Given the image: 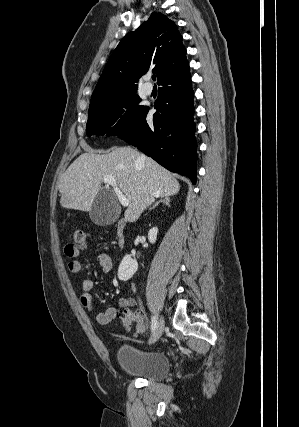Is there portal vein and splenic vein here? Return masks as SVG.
<instances>
[{
	"label": "portal vein and splenic vein",
	"instance_id": "1",
	"mask_svg": "<svg viewBox=\"0 0 299 427\" xmlns=\"http://www.w3.org/2000/svg\"><path fill=\"white\" fill-rule=\"evenodd\" d=\"M104 183H106L107 185H111L113 187V190L122 206L127 207L129 205L128 199L117 187V185L115 184V180L112 177H105Z\"/></svg>",
	"mask_w": 299,
	"mask_h": 427
}]
</instances>
